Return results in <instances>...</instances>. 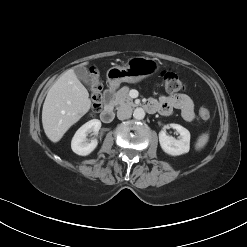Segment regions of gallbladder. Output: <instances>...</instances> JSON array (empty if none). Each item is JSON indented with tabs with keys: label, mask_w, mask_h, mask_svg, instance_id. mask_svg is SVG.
Masks as SVG:
<instances>
[{
	"label": "gallbladder",
	"mask_w": 247,
	"mask_h": 247,
	"mask_svg": "<svg viewBox=\"0 0 247 247\" xmlns=\"http://www.w3.org/2000/svg\"><path fill=\"white\" fill-rule=\"evenodd\" d=\"M74 72L78 79H80L85 85L90 86L91 85V79L89 76V72L84 66H76L74 68Z\"/></svg>",
	"instance_id": "obj_1"
}]
</instances>
